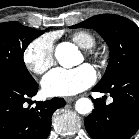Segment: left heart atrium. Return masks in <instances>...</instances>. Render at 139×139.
I'll return each mask as SVG.
<instances>
[{
  "label": "left heart atrium",
  "mask_w": 139,
  "mask_h": 139,
  "mask_svg": "<svg viewBox=\"0 0 139 139\" xmlns=\"http://www.w3.org/2000/svg\"><path fill=\"white\" fill-rule=\"evenodd\" d=\"M96 77V71L89 64L73 69L56 68L44 76L42 88L49 96H71L93 85Z\"/></svg>",
  "instance_id": "obj_1"
}]
</instances>
